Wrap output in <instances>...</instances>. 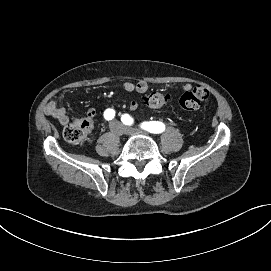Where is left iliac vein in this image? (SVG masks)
<instances>
[{
	"instance_id": "left-iliac-vein-1",
	"label": "left iliac vein",
	"mask_w": 271,
	"mask_h": 271,
	"mask_svg": "<svg viewBox=\"0 0 271 271\" xmlns=\"http://www.w3.org/2000/svg\"><path fill=\"white\" fill-rule=\"evenodd\" d=\"M125 133H127V134H144V135H147V133L142 132L139 129L129 128V127H125Z\"/></svg>"
}]
</instances>
